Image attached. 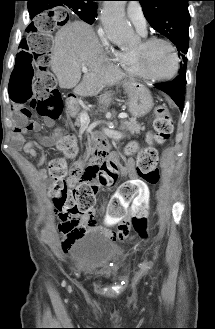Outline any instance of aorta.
<instances>
[{
  "label": "aorta",
  "mask_w": 215,
  "mask_h": 329,
  "mask_svg": "<svg viewBox=\"0 0 215 329\" xmlns=\"http://www.w3.org/2000/svg\"><path fill=\"white\" fill-rule=\"evenodd\" d=\"M125 1H107L105 3L102 24L111 41L121 46H129L134 41V32L125 18Z\"/></svg>",
  "instance_id": "obj_1"
}]
</instances>
